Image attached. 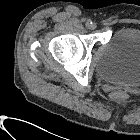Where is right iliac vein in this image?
Returning <instances> with one entry per match:
<instances>
[{
	"label": "right iliac vein",
	"mask_w": 140,
	"mask_h": 140,
	"mask_svg": "<svg viewBox=\"0 0 140 140\" xmlns=\"http://www.w3.org/2000/svg\"><path fill=\"white\" fill-rule=\"evenodd\" d=\"M89 28H90L91 30H94V29L97 28V24H96V23H92V24L89 26Z\"/></svg>",
	"instance_id": "63e3f726"
}]
</instances>
